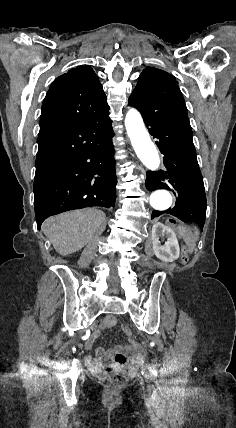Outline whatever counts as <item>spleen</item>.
Returning a JSON list of instances; mask_svg holds the SVG:
<instances>
[{
	"label": "spleen",
	"mask_w": 236,
	"mask_h": 428,
	"mask_svg": "<svg viewBox=\"0 0 236 428\" xmlns=\"http://www.w3.org/2000/svg\"><path fill=\"white\" fill-rule=\"evenodd\" d=\"M178 232L180 236H182L185 244H187L190 252H193L196 242L194 234H192L191 230H186V228H183V226H179Z\"/></svg>",
	"instance_id": "obj_1"
}]
</instances>
